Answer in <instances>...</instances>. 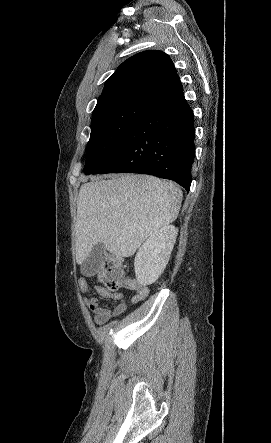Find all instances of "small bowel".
Here are the masks:
<instances>
[{"instance_id":"c3829d8e","label":"small bowel","mask_w":271,"mask_h":443,"mask_svg":"<svg viewBox=\"0 0 271 443\" xmlns=\"http://www.w3.org/2000/svg\"><path fill=\"white\" fill-rule=\"evenodd\" d=\"M79 287L84 293H90L91 291H95L101 297L110 298L118 301L116 306L111 309L101 306L99 299L96 297L84 298L86 306L94 314L93 320L96 324L100 325L107 322L112 317L122 314L127 308V303L124 300L123 295L120 293H112L101 286L90 284L86 279L79 280ZM130 288L135 289L137 291V295H135L133 298L134 302L140 301L148 293L146 288L139 287L134 283L131 284Z\"/></svg>"}]
</instances>
